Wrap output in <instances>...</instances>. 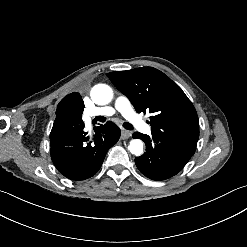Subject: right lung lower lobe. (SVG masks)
Returning a JSON list of instances; mask_svg holds the SVG:
<instances>
[{
	"instance_id": "98d812e1",
	"label": "right lung lower lobe",
	"mask_w": 247,
	"mask_h": 247,
	"mask_svg": "<svg viewBox=\"0 0 247 247\" xmlns=\"http://www.w3.org/2000/svg\"><path fill=\"white\" fill-rule=\"evenodd\" d=\"M83 121L52 129L51 158L57 170L71 180H85L100 169L107 151L118 141L120 129L113 122L100 125L87 136Z\"/></svg>"
}]
</instances>
